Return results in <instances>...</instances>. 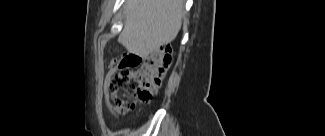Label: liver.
<instances>
[{
    "instance_id": "obj_1",
    "label": "liver",
    "mask_w": 325,
    "mask_h": 136,
    "mask_svg": "<svg viewBox=\"0 0 325 136\" xmlns=\"http://www.w3.org/2000/svg\"><path fill=\"white\" fill-rule=\"evenodd\" d=\"M183 15L184 0H127L118 42L128 52L146 58L175 39Z\"/></svg>"
}]
</instances>
